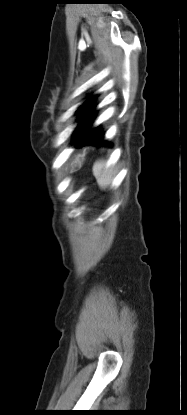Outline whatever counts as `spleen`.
Here are the masks:
<instances>
[{
    "label": "spleen",
    "instance_id": "obj_1",
    "mask_svg": "<svg viewBox=\"0 0 187 415\" xmlns=\"http://www.w3.org/2000/svg\"><path fill=\"white\" fill-rule=\"evenodd\" d=\"M93 174L101 188H106L112 181L113 170L106 167L104 161H97L93 166Z\"/></svg>",
    "mask_w": 187,
    "mask_h": 415
}]
</instances>
